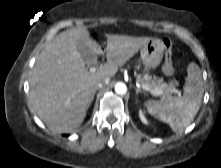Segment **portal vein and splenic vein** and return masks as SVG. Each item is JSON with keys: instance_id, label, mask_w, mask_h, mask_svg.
<instances>
[{"instance_id": "obj_1", "label": "portal vein and splenic vein", "mask_w": 221, "mask_h": 168, "mask_svg": "<svg viewBox=\"0 0 221 168\" xmlns=\"http://www.w3.org/2000/svg\"><path fill=\"white\" fill-rule=\"evenodd\" d=\"M95 70H96V69H95L94 67L90 68V71H91V72H94ZM140 86H141L142 89H144V90H146V91H149V92H151V93H157L156 90H151V89L149 88V86L146 85V84H141ZM173 92L176 93V94H178V95L181 94L179 90H175V89H174Z\"/></svg>"}]
</instances>
